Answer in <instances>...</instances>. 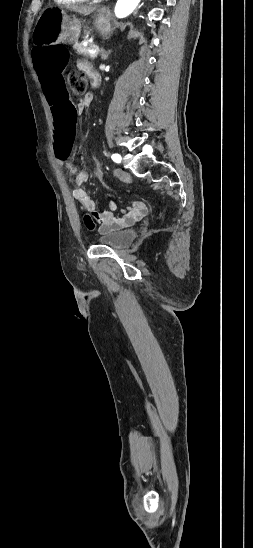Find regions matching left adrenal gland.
<instances>
[{"instance_id": "1", "label": "left adrenal gland", "mask_w": 253, "mask_h": 548, "mask_svg": "<svg viewBox=\"0 0 253 548\" xmlns=\"http://www.w3.org/2000/svg\"><path fill=\"white\" fill-rule=\"evenodd\" d=\"M100 53H101V59L106 60L108 58L109 54L111 53V50L106 52L105 49L102 48Z\"/></svg>"}]
</instances>
